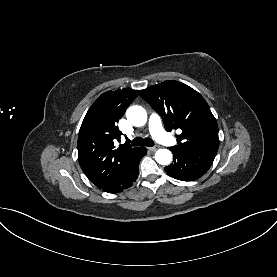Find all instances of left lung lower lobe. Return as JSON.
<instances>
[{
    "instance_id": "obj_1",
    "label": "left lung lower lobe",
    "mask_w": 277,
    "mask_h": 277,
    "mask_svg": "<svg viewBox=\"0 0 277 277\" xmlns=\"http://www.w3.org/2000/svg\"><path fill=\"white\" fill-rule=\"evenodd\" d=\"M173 163L165 167L166 173L178 180L193 181L204 175L213 163L215 150L171 149Z\"/></svg>"
}]
</instances>
